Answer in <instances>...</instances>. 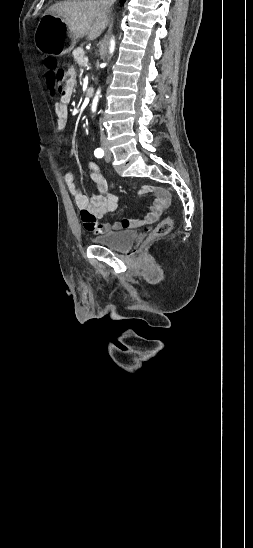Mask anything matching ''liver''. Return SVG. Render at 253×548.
Listing matches in <instances>:
<instances>
[{"instance_id": "6515ba94", "label": "liver", "mask_w": 253, "mask_h": 548, "mask_svg": "<svg viewBox=\"0 0 253 548\" xmlns=\"http://www.w3.org/2000/svg\"><path fill=\"white\" fill-rule=\"evenodd\" d=\"M48 14L60 17L75 40L84 36L94 40L108 24L107 12L99 0L55 3L44 15Z\"/></svg>"}]
</instances>
